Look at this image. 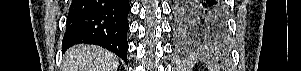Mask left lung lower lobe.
<instances>
[{
	"mask_svg": "<svg viewBox=\"0 0 301 71\" xmlns=\"http://www.w3.org/2000/svg\"><path fill=\"white\" fill-rule=\"evenodd\" d=\"M175 34L188 46L224 50L226 18L221 0H176Z\"/></svg>",
	"mask_w": 301,
	"mask_h": 71,
	"instance_id": "1",
	"label": "left lung lower lobe"
}]
</instances>
